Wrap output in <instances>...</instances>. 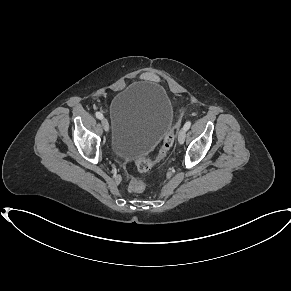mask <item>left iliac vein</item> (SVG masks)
<instances>
[{"instance_id": "1", "label": "left iliac vein", "mask_w": 291, "mask_h": 291, "mask_svg": "<svg viewBox=\"0 0 291 291\" xmlns=\"http://www.w3.org/2000/svg\"><path fill=\"white\" fill-rule=\"evenodd\" d=\"M185 136H186V130L184 129V127L180 130L179 134H178V142L179 144H183L185 141Z\"/></svg>"}]
</instances>
